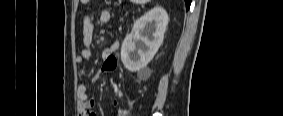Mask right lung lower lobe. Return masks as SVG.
I'll return each mask as SVG.
<instances>
[{
	"label": "right lung lower lobe",
	"mask_w": 283,
	"mask_h": 116,
	"mask_svg": "<svg viewBox=\"0 0 283 116\" xmlns=\"http://www.w3.org/2000/svg\"><path fill=\"white\" fill-rule=\"evenodd\" d=\"M185 3H186V10H188L191 4V0H185Z\"/></svg>",
	"instance_id": "right-lung-lower-lobe-1"
}]
</instances>
